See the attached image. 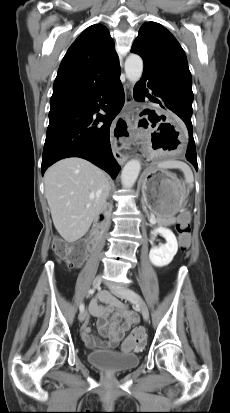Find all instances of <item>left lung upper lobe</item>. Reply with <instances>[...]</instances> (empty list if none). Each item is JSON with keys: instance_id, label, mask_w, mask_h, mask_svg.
<instances>
[{"instance_id": "obj_1", "label": "left lung upper lobe", "mask_w": 230, "mask_h": 413, "mask_svg": "<svg viewBox=\"0 0 230 413\" xmlns=\"http://www.w3.org/2000/svg\"><path fill=\"white\" fill-rule=\"evenodd\" d=\"M131 52L142 57L143 75L153 81L160 96L192 114V77L185 52L175 37L161 24L145 22Z\"/></svg>"}]
</instances>
